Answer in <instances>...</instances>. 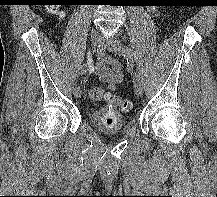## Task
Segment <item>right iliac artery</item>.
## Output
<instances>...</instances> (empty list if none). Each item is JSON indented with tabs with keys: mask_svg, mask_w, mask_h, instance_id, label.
Listing matches in <instances>:
<instances>
[{
	"mask_svg": "<svg viewBox=\"0 0 217 197\" xmlns=\"http://www.w3.org/2000/svg\"><path fill=\"white\" fill-rule=\"evenodd\" d=\"M102 49H103V47L101 45H98L97 50H96L97 56L100 54ZM87 69H88L87 65L82 66L80 71H79V75L83 76L87 72Z\"/></svg>",
	"mask_w": 217,
	"mask_h": 197,
	"instance_id": "right-iliac-artery-1",
	"label": "right iliac artery"
}]
</instances>
